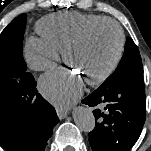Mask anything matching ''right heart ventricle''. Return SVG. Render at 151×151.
<instances>
[{
	"instance_id": "obj_1",
	"label": "right heart ventricle",
	"mask_w": 151,
	"mask_h": 151,
	"mask_svg": "<svg viewBox=\"0 0 151 151\" xmlns=\"http://www.w3.org/2000/svg\"><path fill=\"white\" fill-rule=\"evenodd\" d=\"M107 17L78 12L56 13L43 17L36 25L41 38L58 50L88 25Z\"/></svg>"
}]
</instances>
